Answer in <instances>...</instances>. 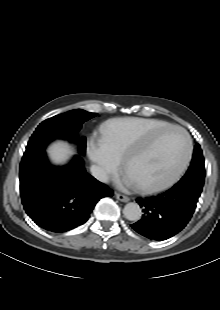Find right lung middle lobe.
Masks as SVG:
<instances>
[{
    "label": "right lung middle lobe",
    "mask_w": 220,
    "mask_h": 310,
    "mask_svg": "<svg viewBox=\"0 0 220 310\" xmlns=\"http://www.w3.org/2000/svg\"><path fill=\"white\" fill-rule=\"evenodd\" d=\"M96 113H90L81 109L68 111L43 121L31 136L25 153H33L43 150L46 145L55 138L74 140L82 123L95 117ZM86 138H81L80 151L85 152Z\"/></svg>",
    "instance_id": "dd1d6c3e"
}]
</instances>
